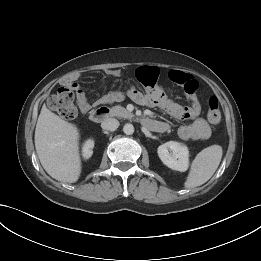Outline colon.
Listing matches in <instances>:
<instances>
[{
	"instance_id": "colon-1",
	"label": "colon",
	"mask_w": 261,
	"mask_h": 261,
	"mask_svg": "<svg viewBox=\"0 0 261 261\" xmlns=\"http://www.w3.org/2000/svg\"><path fill=\"white\" fill-rule=\"evenodd\" d=\"M72 90V87L65 83L59 87L57 92L48 101L49 107L67 120L74 119L77 115ZM207 119L212 125H218L221 122V113L216 97H212L209 100Z\"/></svg>"
}]
</instances>
